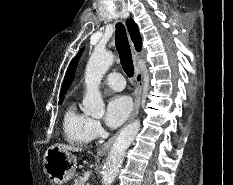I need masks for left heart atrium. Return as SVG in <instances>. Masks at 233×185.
Returning a JSON list of instances; mask_svg holds the SVG:
<instances>
[{"mask_svg": "<svg viewBox=\"0 0 233 185\" xmlns=\"http://www.w3.org/2000/svg\"><path fill=\"white\" fill-rule=\"evenodd\" d=\"M132 109L131 100L125 95H115L107 103L105 122L111 128L120 126Z\"/></svg>", "mask_w": 233, "mask_h": 185, "instance_id": "1", "label": "left heart atrium"}]
</instances>
